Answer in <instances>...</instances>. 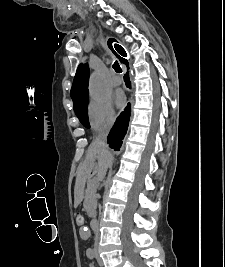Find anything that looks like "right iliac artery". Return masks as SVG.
I'll return each mask as SVG.
<instances>
[{
  "label": "right iliac artery",
  "mask_w": 225,
  "mask_h": 267,
  "mask_svg": "<svg viewBox=\"0 0 225 267\" xmlns=\"http://www.w3.org/2000/svg\"><path fill=\"white\" fill-rule=\"evenodd\" d=\"M86 254H87V257L89 258V259H94V257H95V253H94V251L92 250V249H87V251H86Z\"/></svg>",
  "instance_id": "right-iliac-artery-1"
}]
</instances>
